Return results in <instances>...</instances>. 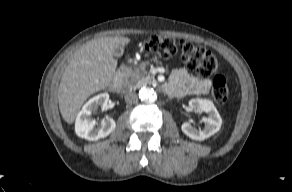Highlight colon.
Instances as JSON below:
<instances>
[{
  "label": "colon",
  "instance_id": "colon-1",
  "mask_svg": "<svg viewBox=\"0 0 292 192\" xmlns=\"http://www.w3.org/2000/svg\"><path fill=\"white\" fill-rule=\"evenodd\" d=\"M144 48L147 52L155 53L162 58H170L179 53L187 67L201 77H208L220 68L219 60L213 52L204 46L196 45L184 39L154 35L145 40ZM229 93L230 88L226 79L217 75L212 84L214 100L219 104L225 103Z\"/></svg>",
  "mask_w": 292,
  "mask_h": 192
}]
</instances>
